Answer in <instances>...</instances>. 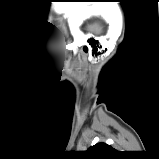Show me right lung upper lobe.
<instances>
[{"label": "right lung upper lobe", "instance_id": "right-lung-upper-lobe-1", "mask_svg": "<svg viewBox=\"0 0 159 159\" xmlns=\"http://www.w3.org/2000/svg\"><path fill=\"white\" fill-rule=\"evenodd\" d=\"M88 151L97 155L96 159H105L104 156H106V154L108 153L113 152L114 149L106 143H97L94 146H91Z\"/></svg>", "mask_w": 159, "mask_h": 159}]
</instances>
